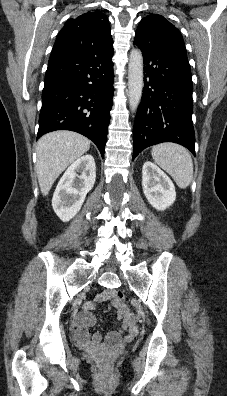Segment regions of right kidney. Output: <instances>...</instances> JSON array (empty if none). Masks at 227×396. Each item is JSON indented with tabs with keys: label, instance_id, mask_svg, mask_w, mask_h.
<instances>
[{
	"label": "right kidney",
	"instance_id": "1",
	"mask_svg": "<svg viewBox=\"0 0 227 396\" xmlns=\"http://www.w3.org/2000/svg\"><path fill=\"white\" fill-rule=\"evenodd\" d=\"M95 178V160L89 154L74 161L63 174L52 199L53 209L63 222L72 219L80 210Z\"/></svg>",
	"mask_w": 227,
	"mask_h": 396
}]
</instances>
